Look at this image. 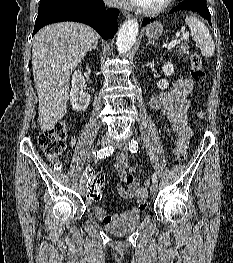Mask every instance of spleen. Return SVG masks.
Masks as SVG:
<instances>
[{"label": "spleen", "mask_w": 233, "mask_h": 263, "mask_svg": "<svg viewBox=\"0 0 233 263\" xmlns=\"http://www.w3.org/2000/svg\"><path fill=\"white\" fill-rule=\"evenodd\" d=\"M185 23L189 26L194 41L198 43L201 54L207 58L212 57L215 45L206 25L192 15L186 16Z\"/></svg>", "instance_id": "1"}]
</instances>
